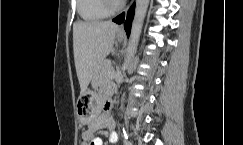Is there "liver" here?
Instances as JSON below:
<instances>
[{
	"mask_svg": "<svg viewBox=\"0 0 243 145\" xmlns=\"http://www.w3.org/2000/svg\"><path fill=\"white\" fill-rule=\"evenodd\" d=\"M118 30L119 26L110 21H76L73 24L74 61L81 93L87 90L110 53Z\"/></svg>",
	"mask_w": 243,
	"mask_h": 145,
	"instance_id": "1",
	"label": "liver"
}]
</instances>
